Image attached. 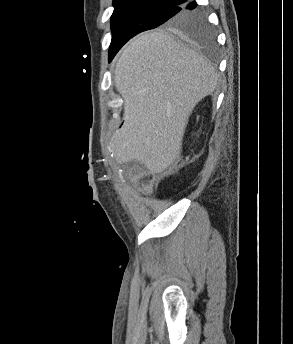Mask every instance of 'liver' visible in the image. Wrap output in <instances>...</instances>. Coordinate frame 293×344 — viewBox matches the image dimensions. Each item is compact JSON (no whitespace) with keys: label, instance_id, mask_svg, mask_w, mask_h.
Returning <instances> with one entry per match:
<instances>
[{"label":"liver","instance_id":"obj_1","mask_svg":"<svg viewBox=\"0 0 293 344\" xmlns=\"http://www.w3.org/2000/svg\"><path fill=\"white\" fill-rule=\"evenodd\" d=\"M124 99L123 125L110 141L119 163L145 164L161 173L179 157L190 114L217 87L215 68L163 32L134 39L114 71Z\"/></svg>","mask_w":293,"mask_h":344}]
</instances>
